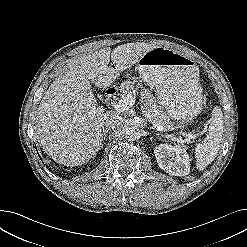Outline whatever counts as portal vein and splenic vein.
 I'll return each instance as SVG.
<instances>
[{
    "mask_svg": "<svg viewBox=\"0 0 247 247\" xmlns=\"http://www.w3.org/2000/svg\"><path fill=\"white\" fill-rule=\"evenodd\" d=\"M134 102H135V97H133L132 95H127L125 97H122V99H120L118 103L116 102H111V103L117 112H123L127 110L129 106L133 105ZM148 119H149L148 121L151 122L153 127L156 128L158 131L165 130L163 126L158 124L155 120L151 119L150 116H148ZM189 137L194 138L195 136L193 137L192 135H189Z\"/></svg>",
    "mask_w": 247,
    "mask_h": 247,
    "instance_id": "obj_1",
    "label": "portal vein and splenic vein"
}]
</instances>
